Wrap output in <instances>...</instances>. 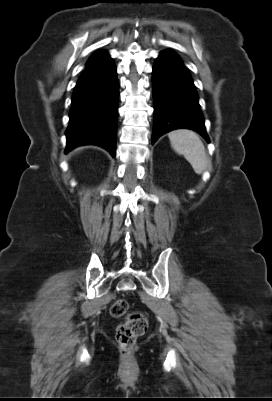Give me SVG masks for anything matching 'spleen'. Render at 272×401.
I'll list each match as a JSON object with an SVG mask.
<instances>
[{"label": "spleen", "instance_id": "3e777b00", "mask_svg": "<svg viewBox=\"0 0 272 401\" xmlns=\"http://www.w3.org/2000/svg\"><path fill=\"white\" fill-rule=\"evenodd\" d=\"M172 148L191 164L196 174H202L207 168L205 147L199 136L190 130H176L169 133Z\"/></svg>", "mask_w": 272, "mask_h": 401}]
</instances>
